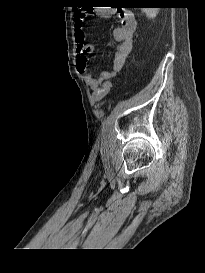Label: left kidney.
Wrapping results in <instances>:
<instances>
[{
  "label": "left kidney",
  "mask_w": 205,
  "mask_h": 273,
  "mask_svg": "<svg viewBox=\"0 0 205 273\" xmlns=\"http://www.w3.org/2000/svg\"><path fill=\"white\" fill-rule=\"evenodd\" d=\"M142 11L146 14V16L150 19H153L158 14L157 8H142Z\"/></svg>",
  "instance_id": "5707ae66"
}]
</instances>
